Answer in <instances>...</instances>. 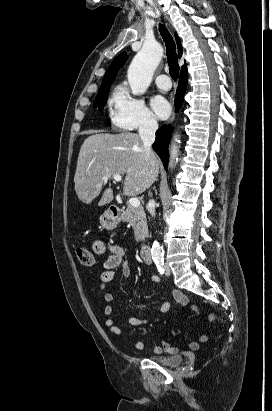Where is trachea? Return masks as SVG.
I'll return each instance as SVG.
<instances>
[{"mask_svg":"<svg viewBox=\"0 0 272 411\" xmlns=\"http://www.w3.org/2000/svg\"><path fill=\"white\" fill-rule=\"evenodd\" d=\"M159 31L166 46L169 73L172 79L176 81L179 77V64L175 42L173 40V37L164 25H159Z\"/></svg>","mask_w":272,"mask_h":411,"instance_id":"1","label":"trachea"}]
</instances>
